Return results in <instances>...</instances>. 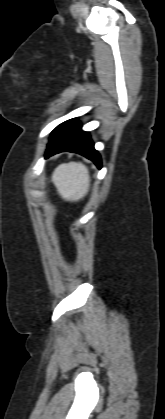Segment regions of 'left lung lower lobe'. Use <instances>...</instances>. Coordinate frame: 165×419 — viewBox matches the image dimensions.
Here are the masks:
<instances>
[{
    "mask_svg": "<svg viewBox=\"0 0 165 419\" xmlns=\"http://www.w3.org/2000/svg\"><path fill=\"white\" fill-rule=\"evenodd\" d=\"M63 151L81 154L101 168L100 155L94 149L89 133L81 130L76 118L63 122L52 131L45 157Z\"/></svg>",
    "mask_w": 165,
    "mask_h": 419,
    "instance_id": "0a47b994",
    "label": "left lung lower lobe"
}]
</instances>
